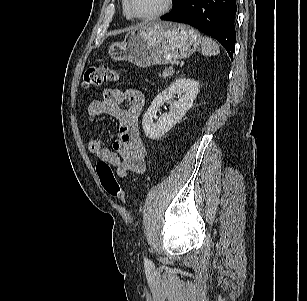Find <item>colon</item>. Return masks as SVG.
Segmentation results:
<instances>
[{"mask_svg":"<svg viewBox=\"0 0 307 301\" xmlns=\"http://www.w3.org/2000/svg\"><path fill=\"white\" fill-rule=\"evenodd\" d=\"M118 78V73L107 65H91L84 73L82 86L85 89L94 88L106 82H115ZM96 170L100 183L107 194L125 204V193L120 182L116 179L111 165L101 160L98 162Z\"/></svg>","mask_w":307,"mask_h":301,"instance_id":"5ec220e1","label":"colon"}]
</instances>
